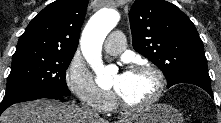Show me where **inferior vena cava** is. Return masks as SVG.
Here are the masks:
<instances>
[{"mask_svg": "<svg viewBox=\"0 0 221 123\" xmlns=\"http://www.w3.org/2000/svg\"><path fill=\"white\" fill-rule=\"evenodd\" d=\"M86 113H88V114H90L91 116H98L96 113H94V112H92L90 109H88V108H85V109H83Z\"/></svg>", "mask_w": 221, "mask_h": 123, "instance_id": "1", "label": "inferior vena cava"}]
</instances>
